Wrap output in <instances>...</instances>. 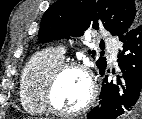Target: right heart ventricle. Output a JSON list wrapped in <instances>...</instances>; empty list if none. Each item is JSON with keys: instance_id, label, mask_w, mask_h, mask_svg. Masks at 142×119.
<instances>
[{"instance_id": "1", "label": "right heart ventricle", "mask_w": 142, "mask_h": 119, "mask_svg": "<svg viewBox=\"0 0 142 119\" xmlns=\"http://www.w3.org/2000/svg\"><path fill=\"white\" fill-rule=\"evenodd\" d=\"M63 62V56L55 49L37 52L22 71L20 100L23 108L32 114L45 115L49 112L44 101V88L53 72Z\"/></svg>"}]
</instances>
